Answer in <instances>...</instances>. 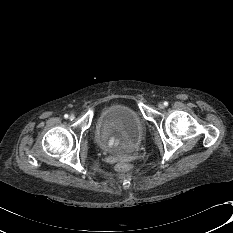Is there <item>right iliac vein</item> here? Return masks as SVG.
<instances>
[{"mask_svg":"<svg viewBox=\"0 0 233 233\" xmlns=\"http://www.w3.org/2000/svg\"><path fill=\"white\" fill-rule=\"evenodd\" d=\"M69 119H70V120H74V119H75V115H74V114H71V115L69 116Z\"/></svg>","mask_w":233,"mask_h":233,"instance_id":"right-iliac-vein-1","label":"right iliac vein"}]
</instances>
